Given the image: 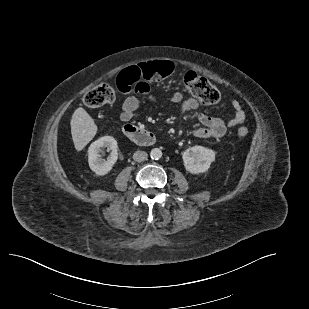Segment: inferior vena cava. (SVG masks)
Returning <instances> with one entry per match:
<instances>
[{"instance_id":"602c4592","label":"inferior vena cava","mask_w":309,"mask_h":309,"mask_svg":"<svg viewBox=\"0 0 309 309\" xmlns=\"http://www.w3.org/2000/svg\"><path fill=\"white\" fill-rule=\"evenodd\" d=\"M148 154L145 151H136L133 154V159L137 162H143L147 160Z\"/></svg>"}]
</instances>
